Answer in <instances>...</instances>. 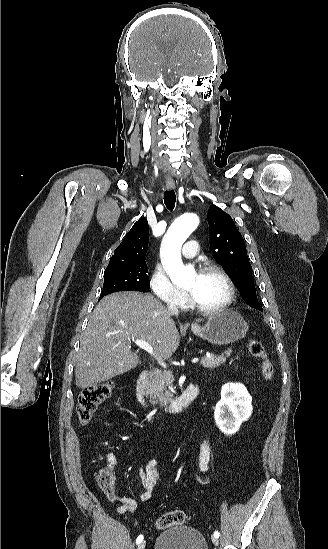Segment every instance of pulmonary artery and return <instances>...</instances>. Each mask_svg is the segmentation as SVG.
Segmentation results:
<instances>
[{"label": "pulmonary artery", "instance_id": "e3ab8cb5", "mask_svg": "<svg viewBox=\"0 0 328 549\" xmlns=\"http://www.w3.org/2000/svg\"><path fill=\"white\" fill-rule=\"evenodd\" d=\"M198 249L199 244L197 241H186V245L182 249V254L185 258H193Z\"/></svg>", "mask_w": 328, "mask_h": 549}]
</instances>
